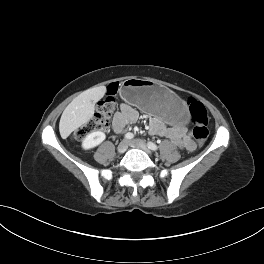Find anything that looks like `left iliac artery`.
Returning a JSON list of instances; mask_svg holds the SVG:
<instances>
[{"label": "left iliac artery", "instance_id": "left-iliac-artery-1", "mask_svg": "<svg viewBox=\"0 0 264 264\" xmlns=\"http://www.w3.org/2000/svg\"><path fill=\"white\" fill-rule=\"evenodd\" d=\"M147 146L151 150H154V151L158 150V146L155 143H153V142H148Z\"/></svg>", "mask_w": 264, "mask_h": 264}]
</instances>
